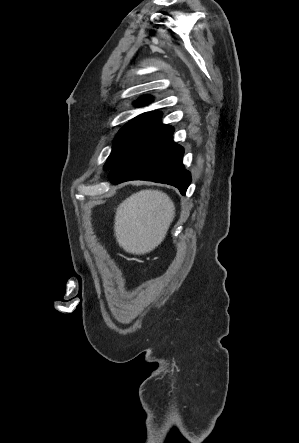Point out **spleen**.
<instances>
[{
  "instance_id": "3e777b00",
  "label": "spleen",
  "mask_w": 299,
  "mask_h": 443,
  "mask_svg": "<svg viewBox=\"0 0 299 443\" xmlns=\"http://www.w3.org/2000/svg\"><path fill=\"white\" fill-rule=\"evenodd\" d=\"M174 216V204L166 194L151 190L133 194L116 210L117 241L126 251L148 252L165 237Z\"/></svg>"
}]
</instances>
